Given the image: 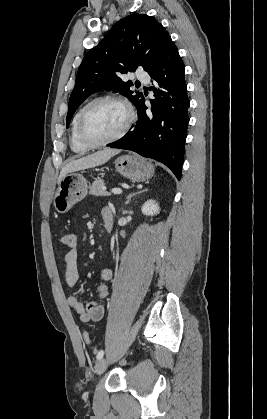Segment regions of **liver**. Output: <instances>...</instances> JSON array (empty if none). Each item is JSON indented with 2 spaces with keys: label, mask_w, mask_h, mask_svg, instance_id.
<instances>
[{
  "label": "liver",
  "mask_w": 267,
  "mask_h": 419,
  "mask_svg": "<svg viewBox=\"0 0 267 419\" xmlns=\"http://www.w3.org/2000/svg\"><path fill=\"white\" fill-rule=\"evenodd\" d=\"M119 153L120 150L118 149L105 148L104 150L72 160L61 169L58 182L69 172L100 166Z\"/></svg>",
  "instance_id": "obj_1"
}]
</instances>
